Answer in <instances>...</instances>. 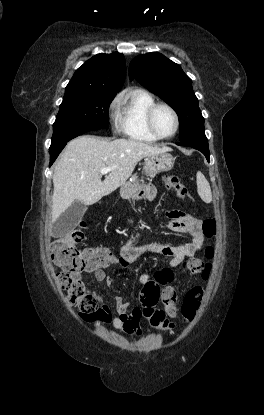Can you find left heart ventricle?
Returning <instances> with one entry per match:
<instances>
[{"mask_svg":"<svg viewBox=\"0 0 264 415\" xmlns=\"http://www.w3.org/2000/svg\"><path fill=\"white\" fill-rule=\"evenodd\" d=\"M155 128L160 135H169L175 128V119L173 114L164 107L157 109L154 115Z\"/></svg>","mask_w":264,"mask_h":415,"instance_id":"b2bd125f","label":"left heart ventricle"}]
</instances>
